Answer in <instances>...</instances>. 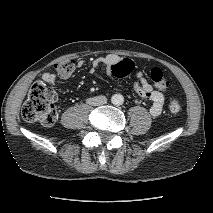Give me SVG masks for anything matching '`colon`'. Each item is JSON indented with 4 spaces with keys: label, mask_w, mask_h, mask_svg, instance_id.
<instances>
[{
    "label": "colon",
    "mask_w": 213,
    "mask_h": 213,
    "mask_svg": "<svg viewBox=\"0 0 213 213\" xmlns=\"http://www.w3.org/2000/svg\"><path fill=\"white\" fill-rule=\"evenodd\" d=\"M55 69L60 77H68L75 69L73 60H64L55 64ZM134 70V63L129 59H122L113 65L112 75L117 78L129 76ZM151 80L158 91H165L169 86V79L159 68H153L150 72ZM56 93L44 83L35 82L28 93V97L22 107V117L27 122H36L44 126H52L57 119ZM183 108L182 101L178 97H172L169 101V111L178 114Z\"/></svg>",
    "instance_id": "1"
}]
</instances>
